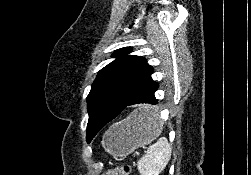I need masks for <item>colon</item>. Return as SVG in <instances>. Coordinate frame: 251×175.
<instances>
[{
	"label": "colon",
	"instance_id": "5ec220e1",
	"mask_svg": "<svg viewBox=\"0 0 251 175\" xmlns=\"http://www.w3.org/2000/svg\"><path fill=\"white\" fill-rule=\"evenodd\" d=\"M131 172V167L129 165H117L107 169L103 175H129Z\"/></svg>",
	"mask_w": 251,
	"mask_h": 175
}]
</instances>
